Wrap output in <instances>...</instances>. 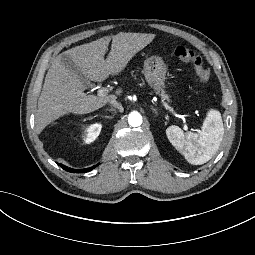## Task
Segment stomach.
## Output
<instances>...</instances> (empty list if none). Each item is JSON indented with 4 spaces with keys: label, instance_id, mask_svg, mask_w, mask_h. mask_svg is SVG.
<instances>
[{
    "label": "stomach",
    "instance_id": "obj_1",
    "mask_svg": "<svg viewBox=\"0 0 255 255\" xmlns=\"http://www.w3.org/2000/svg\"><path fill=\"white\" fill-rule=\"evenodd\" d=\"M166 70L164 65L144 67L146 81L155 91H162L164 89Z\"/></svg>",
    "mask_w": 255,
    "mask_h": 255
}]
</instances>
